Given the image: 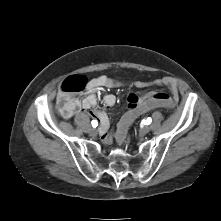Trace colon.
<instances>
[{
	"label": "colon",
	"mask_w": 221,
	"mask_h": 221,
	"mask_svg": "<svg viewBox=\"0 0 221 221\" xmlns=\"http://www.w3.org/2000/svg\"><path fill=\"white\" fill-rule=\"evenodd\" d=\"M87 85V79L84 76H72L66 79L61 87V94L58 96L57 109L63 117H68L69 115V105L74 94L79 93L85 89ZM163 108L166 110L177 111L179 109V104L172 99H170L164 93H155L151 100H146L145 102L134 105L124 111L118 120L116 127V134L119 143L127 142V135L130 124L137 120V117L148 113L152 109Z\"/></svg>",
	"instance_id": "5ec220e1"
}]
</instances>
